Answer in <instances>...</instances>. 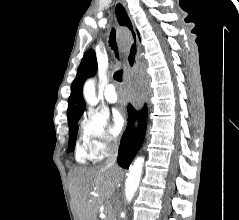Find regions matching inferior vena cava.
I'll list each match as a JSON object with an SVG mask.
<instances>
[{"mask_svg":"<svg viewBox=\"0 0 239 220\" xmlns=\"http://www.w3.org/2000/svg\"><path fill=\"white\" fill-rule=\"evenodd\" d=\"M106 165L115 167L117 161L118 146L115 140H107L106 142Z\"/></svg>","mask_w":239,"mask_h":220,"instance_id":"1","label":"inferior vena cava"}]
</instances>
